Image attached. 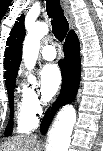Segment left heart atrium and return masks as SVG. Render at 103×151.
Masks as SVG:
<instances>
[{
  "label": "left heart atrium",
  "instance_id": "obj_1",
  "mask_svg": "<svg viewBox=\"0 0 103 151\" xmlns=\"http://www.w3.org/2000/svg\"><path fill=\"white\" fill-rule=\"evenodd\" d=\"M62 81L61 72L57 65H46L41 73V93L45 100L54 97L60 88Z\"/></svg>",
  "mask_w": 103,
  "mask_h": 151
}]
</instances>
